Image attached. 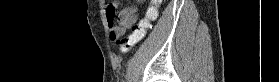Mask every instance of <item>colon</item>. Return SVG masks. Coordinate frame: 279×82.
Here are the masks:
<instances>
[{
	"label": "colon",
	"instance_id": "5ec220e1",
	"mask_svg": "<svg viewBox=\"0 0 279 82\" xmlns=\"http://www.w3.org/2000/svg\"><path fill=\"white\" fill-rule=\"evenodd\" d=\"M161 0H151L143 19L132 26L131 33L120 39L119 47L122 53H127L145 37L149 24L157 17V6Z\"/></svg>",
	"mask_w": 279,
	"mask_h": 82
}]
</instances>
